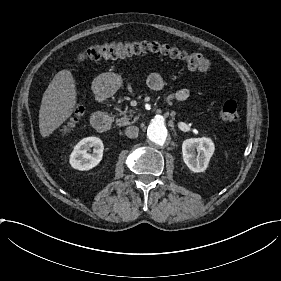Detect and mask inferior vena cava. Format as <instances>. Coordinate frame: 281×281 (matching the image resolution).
I'll return each instance as SVG.
<instances>
[{
  "label": "inferior vena cava",
  "mask_w": 281,
  "mask_h": 281,
  "mask_svg": "<svg viewBox=\"0 0 281 281\" xmlns=\"http://www.w3.org/2000/svg\"><path fill=\"white\" fill-rule=\"evenodd\" d=\"M139 128L137 126H129L125 130V135L129 138H135L138 136Z\"/></svg>",
  "instance_id": "inferior-vena-cava-1"
}]
</instances>
